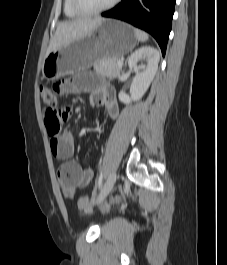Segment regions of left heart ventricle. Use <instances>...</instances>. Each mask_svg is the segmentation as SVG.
I'll list each match as a JSON object with an SVG mask.
<instances>
[{
  "label": "left heart ventricle",
  "instance_id": "1",
  "mask_svg": "<svg viewBox=\"0 0 227 265\" xmlns=\"http://www.w3.org/2000/svg\"><path fill=\"white\" fill-rule=\"evenodd\" d=\"M111 0H80L86 9H96L108 4Z\"/></svg>",
  "mask_w": 227,
  "mask_h": 265
}]
</instances>
